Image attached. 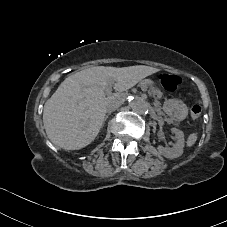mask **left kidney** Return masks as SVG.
I'll list each match as a JSON object with an SVG mask.
<instances>
[{
	"label": "left kidney",
	"mask_w": 227,
	"mask_h": 227,
	"mask_svg": "<svg viewBox=\"0 0 227 227\" xmlns=\"http://www.w3.org/2000/svg\"><path fill=\"white\" fill-rule=\"evenodd\" d=\"M171 132L175 134L177 139L174 146L172 148H165L163 146H158V151L164 157L169 159H174L183 154L185 139H184V133L181 130L177 128H172Z\"/></svg>",
	"instance_id": "1"
}]
</instances>
